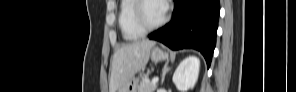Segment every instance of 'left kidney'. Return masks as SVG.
<instances>
[{"label":"left kidney","instance_id":"1","mask_svg":"<svg viewBox=\"0 0 296 92\" xmlns=\"http://www.w3.org/2000/svg\"><path fill=\"white\" fill-rule=\"evenodd\" d=\"M200 60L191 55L183 59L173 74V83L180 92H187L192 89L198 79Z\"/></svg>","mask_w":296,"mask_h":92}]
</instances>
